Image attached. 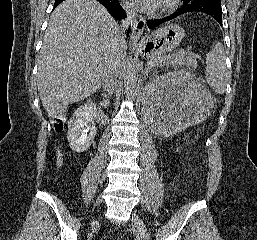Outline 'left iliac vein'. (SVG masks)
Here are the masks:
<instances>
[{"label":"left iliac vein","instance_id":"obj_1","mask_svg":"<svg viewBox=\"0 0 257 240\" xmlns=\"http://www.w3.org/2000/svg\"><path fill=\"white\" fill-rule=\"evenodd\" d=\"M132 226L143 240L150 239V235L146 225L136 213H133L132 215Z\"/></svg>","mask_w":257,"mask_h":240}]
</instances>
